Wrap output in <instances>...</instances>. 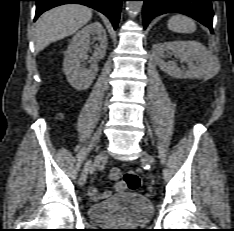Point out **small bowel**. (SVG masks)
Instances as JSON below:
<instances>
[{
	"label": "small bowel",
	"mask_w": 234,
	"mask_h": 231,
	"mask_svg": "<svg viewBox=\"0 0 234 231\" xmlns=\"http://www.w3.org/2000/svg\"><path fill=\"white\" fill-rule=\"evenodd\" d=\"M115 191L119 193L125 192L126 191L125 183L122 181L117 182L115 185ZM111 193H112L111 190H105L102 193H100L95 187L89 188V195L93 200H100L102 198H107L111 195Z\"/></svg>",
	"instance_id": "1"
}]
</instances>
